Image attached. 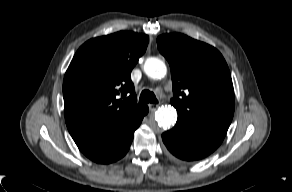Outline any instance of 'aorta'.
Returning a JSON list of instances; mask_svg holds the SVG:
<instances>
[{
    "label": "aorta",
    "instance_id": "762f6f07",
    "mask_svg": "<svg viewBox=\"0 0 292 192\" xmlns=\"http://www.w3.org/2000/svg\"><path fill=\"white\" fill-rule=\"evenodd\" d=\"M144 72L150 78L162 79L167 73V67L161 59L149 57L144 63ZM155 120L159 127L170 128L177 120V112L171 106L159 108L155 113ZM152 127H154V123H152Z\"/></svg>",
    "mask_w": 292,
    "mask_h": 192
}]
</instances>
